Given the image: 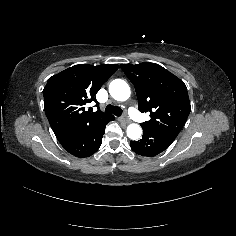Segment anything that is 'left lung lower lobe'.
<instances>
[{"label": "left lung lower lobe", "instance_id": "obj_1", "mask_svg": "<svg viewBox=\"0 0 236 236\" xmlns=\"http://www.w3.org/2000/svg\"><path fill=\"white\" fill-rule=\"evenodd\" d=\"M143 128V136L139 141H131L132 150L142 156H156L167 149L175 140L178 134L168 131L152 130Z\"/></svg>", "mask_w": 236, "mask_h": 236}]
</instances>
